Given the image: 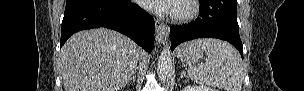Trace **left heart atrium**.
Instances as JSON below:
<instances>
[{
  "instance_id": "left-heart-atrium-1",
  "label": "left heart atrium",
  "mask_w": 304,
  "mask_h": 91,
  "mask_svg": "<svg viewBox=\"0 0 304 91\" xmlns=\"http://www.w3.org/2000/svg\"><path fill=\"white\" fill-rule=\"evenodd\" d=\"M178 0H143L142 6L159 13L173 15L178 8Z\"/></svg>"
}]
</instances>
